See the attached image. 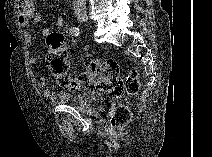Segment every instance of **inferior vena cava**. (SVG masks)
Instances as JSON below:
<instances>
[{
	"label": "inferior vena cava",
	"instance_id": "obj_1",
	"mask_svg": "<svg viewBox=\"0 0 212 157\" xmlns=\"http://www.w3.org/2000/svg\"><path fill=\"white\" fill-rule=\"evenodd\" d=\"M74 9L77 11H84L86 8V0H74L73 1Z\"/></svg>",
	"mask_w": 212,
	"mask_h": 157
}]
</instances>
